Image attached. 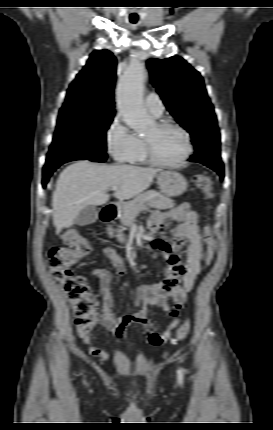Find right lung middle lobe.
Masks as SVG:
<instances>
[{
	"label": "right lung middle lobe",
	"instance_id": "1",
	"mask_svg": "<svg viewBox=\"0 0 273 430\" xmlns=\"http://www.w3.org/2000/svg\"><path fill=\"white\" fill-rule=\"evenodd\" d=\"M113 117L114 113L61 109L44 170L69 161L91 159L104 154L106 130Z\"/></svg>",
	"mask_w": 273,
	"mask_h": 430
}]
</instances>
